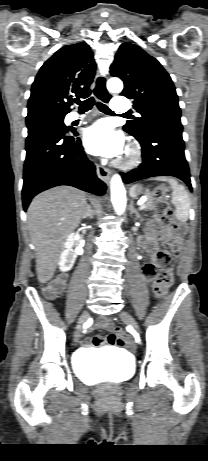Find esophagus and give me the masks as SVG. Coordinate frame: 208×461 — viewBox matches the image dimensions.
Wrapping results in <instances>:
<instances>
[{
	"label": "esophagus",
	"instance_id": "obj_1",
	"mask_svg": "<svg viewBox=\"0 0 208 461\" xmlns=\"http://www.w3.org/2000/svg\"><path fill=\"white\" fill-rule=\"evenodd\" d=\"M104 80H105V85H106V82H107V77L104 76ZM97 174L99 176L100 179H102L103 181L105 182H109L110 180V171L109 169L105 168V167H98L97 168Z\"/></svg>",
	"mask_w": 208,
	"mask_h": 461
}]
</instances>
